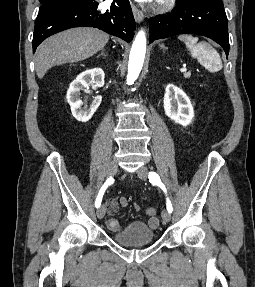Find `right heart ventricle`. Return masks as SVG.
Returning a JSON list of instances; mask_svg holds the SVG:
<instances>
[{"instance_id": "obj_1", "label": "right heart ventricle", "mask_w": 255, "mask_h": 287, "mask_svg": "<svg viewBox=\"0 0 255 287\" xmlns=\"http://www.w3.org/2000/svg\"><path fill=\"white\" fill-rule=\"evenodd\" d=\"M111 48H119V47H111Z\"/></svg>"}]
</instances>
